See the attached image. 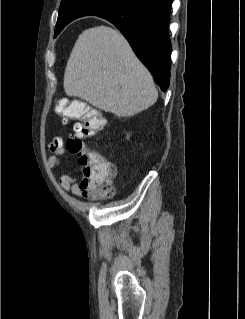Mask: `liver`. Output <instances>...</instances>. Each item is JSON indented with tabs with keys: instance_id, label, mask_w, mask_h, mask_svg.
Masks as SVG:
<instances>
[{
	"instance_id": "obj_1",
	"label": "liver",
	"mask_w": 245,
	"mask_h": 319,
	"mask_svg": "<svg viewBox=\"0 0 245 319\" xmlns=\"http://www.w3.org/2000/svg\"><path fill=\"white\" fill-rule=\"evenodd\" d=\"M64 90L119 117H130L158 98L152 75L115 29L98 26L75 42L64 73Z\"/></svg>"
}]
</instances>
